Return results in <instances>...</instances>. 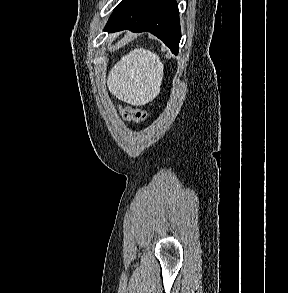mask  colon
<instances>
[{
  "instance_id": "colon-1",
  "label": "colon",
  "mask_w": 288,
  "mask_h": 293,
  "mask_svg": "<svg viewBox=\"0 0 288 293\" xmlns=\"http://www.w3.org/2000/svg\"><path fill=\"white\" fill-rule=\"evenodd\" d=\"M121 115L123 118H125L128 121H131L134 123H141L146 119L147 112L144 110L135 109V108H122Z\"/></svg>"
}]
</instances>
